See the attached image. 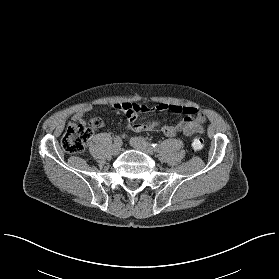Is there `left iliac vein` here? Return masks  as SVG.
I'll return each instance as SVG.
<instances>
[{"label": "left iliac vein", "instance_id": "obj_1", "mask_svg": "<svg viewBox=\"0 0 279 279\" xmlns=\"http://www.w3.org/2000/svg\"><path fill=\"white\" fill-rule=\"evenodd\" d=\"M130 144L133 148H135L137 150H140L142 152H145L148 155H153L154 154V150L150 146V144L145 142L144 139H142L140 137H132L130 139Z\"/></svg>", "mask_w": 279, "mask_h": 279}]
</instances>
